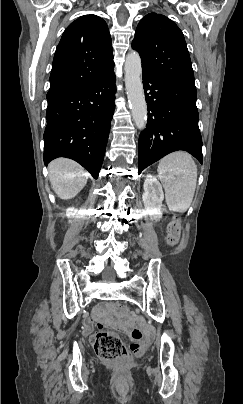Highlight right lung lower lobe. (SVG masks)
<instances>
[{
	"label": "right lung lower lobe",
	"mask_w": 243,
	"mask_h": 404,
	"mask_svg": "<svg viewBox=\"0 0 243 404\" xmlns=\"http://www.w3.org/2000/svg\"><path fill=\"white\" fill-rule=\"evenodd\" d=\"M115 74L78 89L47 97L44 162L71 158L97 179L101 169L110 122L115 109Z\"/></svg>",
	"instance_id": "98d812e1"
}]
</instances>
